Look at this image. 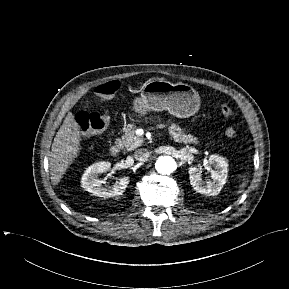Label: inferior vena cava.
Masks as SVG:
<instances>
[{
    "mask_svg": "<svg viewBox=\"0 0 289 289\" xmlns=\"http://www.w3.org/2000/svg\"><path fill=\"white\" fill-rule=\"evenodd\" d=\"M150 154L147 149H138L134 152V158L138 161H146Z\"/></svg>",
    "mask_w": 289,
    "mask_h": 289,
    "instance_id": "1",
    "label": "inferior vena cava"
}]
</instances>
